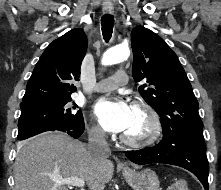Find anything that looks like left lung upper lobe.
<instances>
[{"label": "left lung upper lobe", "instance_id": "1", "mask_svg": "<svg viewBox=\"0 0 221 190\" xmlns=\"http://www.w3.org/2000/svg\"><path fill=\"white\" fill-rule=\"evenodd\" d=\"M132 75L143 99L159 114L164 131L183 141L205 145L198 101L175 52L151 30L137 26L131 32Z\"/></svg>", "mask_w": 221, "mask_h": 190}]
</instances>
